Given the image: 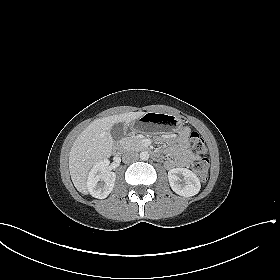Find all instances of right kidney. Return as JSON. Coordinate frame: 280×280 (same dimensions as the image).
Wrapping results in <instances>:
<instances>
[{
	"instance_id": "right-kidney-1",
	"label": "right kidney",
	"mask_w": 280,
	"mask_h": 280,
	"mask_svg": "<svg viewBox=\"0 0 280 280\" xmlns=\"http://www.w3.org/2000/svg\"><path fill=\"white\" fill-rule=\"evenodd\" d=\"M108 161L101 160L97 162L87 178V190L95 198L104 199L113 190L116 174L114 172H107ZM102 181L103 183H99Z\"/></svg>"
}]
</instances>
